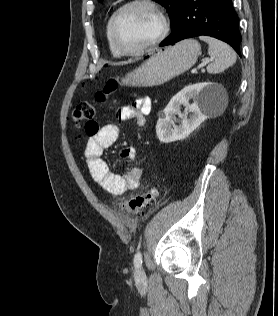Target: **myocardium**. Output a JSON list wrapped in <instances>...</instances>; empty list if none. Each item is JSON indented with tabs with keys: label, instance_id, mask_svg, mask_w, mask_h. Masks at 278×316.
<instances>
[{
	"label": "myocardium",
	"instance_id": "f54148a6",
	"mask_svg": "<svg viewBox=\"0 0 278 316\" xmlns=\"http://www.w3.org/2000/svg\"><path fill=\"white\" fill-rule=\"evenodd\" d=\"M137 5H144L149 7L158 17L159 23H160V29L157 34V36L147 45L138 48V49H127L125 48L118 39L117 36V22L120 16L129 8ZM170 29V23L169 20L162 9V7L156 3L154 0H131L123 5H121L112 15L111 22H110V33H111V39L115 46V48L123 55L128 56H138L141 54H144L156 46H158L167 36Z\"/></svg>",
	"mask_w": 278,
	"mask_h": 316
}]
</instances>
